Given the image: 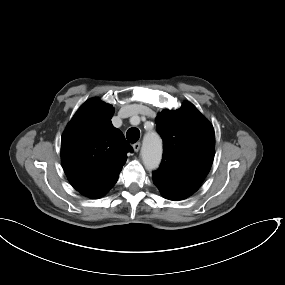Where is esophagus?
<instances>
[{
	"label": "esophagus",
	"mask_w": 285,
	"mask_h": 285,
	"mask_svg": "<svg viewBox=\"0 0 285 285\" xmlns=\"http://www.w3.org/2000/svg\"><path fill=\"white\" fill-rule=\"evenodd\" d=\"M141 147V143L140 142H136L133 144V149L135 152H138L140 150Z\"/></svg>",
	"instance_id": "obj_1"
}]
</instances>
